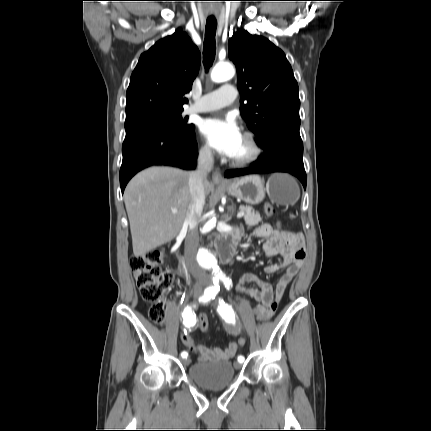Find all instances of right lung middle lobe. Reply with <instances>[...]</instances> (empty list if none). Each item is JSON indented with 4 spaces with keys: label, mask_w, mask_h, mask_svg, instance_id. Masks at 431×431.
<instances>
[{
    "label": "right lung middle lobe",
    "mask_w": 431,
    "mask_h": 431,
    "mask_svg": "<svg viewBox=\"0 0 431 431\" xmlns=\"http://www.w3.org/2000/svg\"><path fill=\"white\" fill-rule=\"evenodd\" d=\"M179 111L157 112L125 121V130L131 132L149 126H164L178 131H191L193 124L187 123V118H182Z\"/></svg>",
    "instance_id": "1"
}]
</instances>
